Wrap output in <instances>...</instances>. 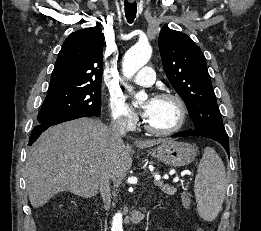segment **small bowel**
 <instances>
[{"label":"small bowel","instance_id":"small-bowel-1","mask_svg":"<svg viewBox=\"0 0 261 231\" xmlns=\"http://www.w3.org/2000/svg\"><path fill=\"white\" fill-rule=\"evenodd\" d=\"M184 201H185L186 203H188V202H189V197H188V195H187V194H184Z\"/></svg>","mask_w":261,"mask_h":231}]
</instances>
